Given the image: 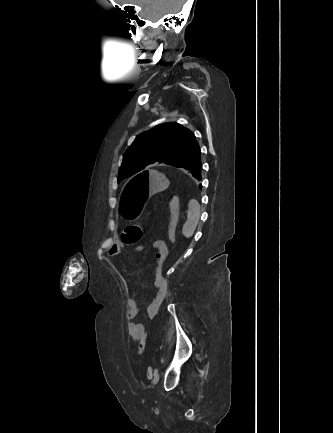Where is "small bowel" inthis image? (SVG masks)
I'll use <instances>...</instances> for the list:
<instances>
[{
	"instance_id": "c3829d8e",
	"label": "small bowel",
	"mask_w": 333,
	"mask_h": 433,
	"mask_svg": "<svg viewBox=\"0 0 333 433\" xmlns=\"http://www.w3.org/2000/svg\"><path fill=\"white\" fill-rule=\"evenodd\" d=\"M152 247L154 249V255H155V280H154L155 292L152 299L150 300V302L145 308V313L148 318H153L158 314L160 307L168 293V284L162 275V267L168 256L167 245L163 240H155L152 243ZM141 249H142L141 246H137L135 248V250L137 251H140ZM120 250H121L120 245L118 244L111 245L107 251L108 257L109 258L115 257ZM140 312H141V307L138 305L136 298L129 297L126 302L125 316L129 322L128 323L129 336L134 340L140 339L145 333V325L134 321Z\"/></svg>"
}]
</instances>
